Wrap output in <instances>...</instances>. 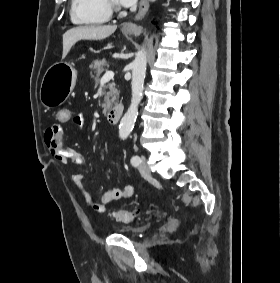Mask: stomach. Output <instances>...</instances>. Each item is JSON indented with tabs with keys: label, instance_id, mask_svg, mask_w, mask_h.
Listing matches in <instances>:
<instances>
[{
	"label": "stomach",
	"instance_id": "0dacf381",
	"mask_svg": "<svg viewBox=\"0 0 280 283\" xmlns=\"http://www.w3.org/2000/svg\"><path fill=\"white\" fill-rule=\"evenodd\" d=\"M134 29H124V33L131 35ZM77 71L67 62H57L45 72L41 87L40 101L43 106L50 108L64 103L74 89Z\"/></svg>",
	"mask_w": 280,
	"mask_h": 283
}]
</instances>
